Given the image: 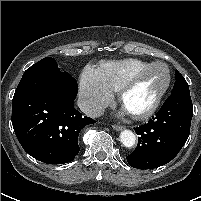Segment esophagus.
<instances>
[{
  "mask_svg": "<svg viewBox=\"0 0 201 201\" xmlns=\"http://www.w3.org/2000/svg\"><path fill=\"white\" fill-rule=\"evenodd\" d=\"M112 127L116 131H120V130L124 129V127L122 125H113Z\"/></svg>",
  "mask_w": 201,
  "mask_h": 201,
  "instance_id": "1",
  "label": "esophagus"
}]
</instances>
